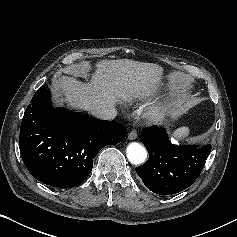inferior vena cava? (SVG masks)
Here are the masks:
<instances>
[{"label":"inferior vena cava","instance_id":"inferior-vena-cava-1","mask_svg":"<svg viewBox=\"0 0 237 237\" xmlns=\"http://www.w3.org/2000/svg\"><path fill=\"white\" fill-rule=\"evenodd\" d=\"M91 114L102 120H113L116 117V110L114 107L95 109Z\"/></svg>","mask_w":237,"mask_h":237}]
</instances>
